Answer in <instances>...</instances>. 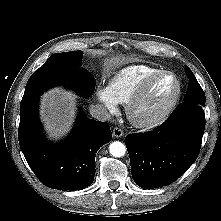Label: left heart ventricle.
<instances>
[{
  "instance_id": "1",
  "label": "left heart ventricle",
  "mask_w": 221,
  "mask_h": 221,
  "mask_svg": "<svg viewBox=\"0 0 221 221\" xmlns=\"http://www.w3.org/2000/svg\"><path fill=\"white\" fill-rule=\"evenodd\" d=\"M176 83L171 76H163L153 82L137 107L139 118H148L158 113L175 93Z\"/></svg>"
}]
</instances>
